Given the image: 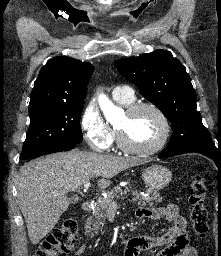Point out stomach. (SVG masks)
Here are the masks:
<instances>
[{
	"instance_id": "stomach-1",
	"label": "stomach",
	"mask_w": 221,
	"mask_h": 256,
	"mask_svg": "<svg viewBox=\"0 0 221 256\" xmlns=\"http://www.w3.org/2000/svg\"><path fill=\"white\" fill-rule=\"evenodd\" d=\"M142 179L150 190L157 191L166 187L172 179L171 171L161 165H152L144 169Z\"/></svg>"
}]
</instances>
